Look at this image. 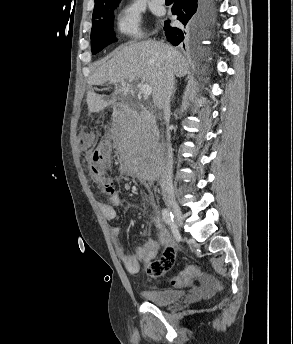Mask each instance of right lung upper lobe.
Masks as SVG:
<instances>
[{
	"label": "right lung upper lobe",
	"instance_id": "1",
	"mask_svg": "<svg viewBox=\"0 0 293 344\" xmlns=\"http://www.w3.org/2000/svg\"><path fill=\"white\" fill-rule=\"evenodd\" d=\"M120 0H95V9L101 8V7H105L108 6L110 4L119 2Z\"/></svg>",
	"mask_w": 293,
	"mask_h": 344
}]
</instances>
